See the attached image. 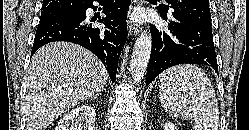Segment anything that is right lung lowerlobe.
<instances>
[{"label":"right lung lower lobe","mask_w":249,"mask_h":130,"mask_svg":"<svg viewBox=\"0 0 249 130\" xmlns=\"http://www.w3.org/2000/svg\"><path fill=\"white\" fill-rule=\"evenodd\" d=\"M131 0H109L104 3V18L98 22L108 30L93 28L95 20L86 17V10L94 8L90 0L82 10L73 16L40 22L37 27L31 56L43 45L55 41H68L79 44L93 52L106 67L110 79L115 82L118 59L127 40L126 16Z\"/></svg>","instance_id":"98d812e1"}]
</instances>
